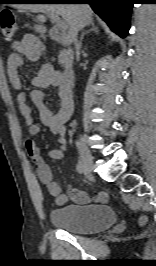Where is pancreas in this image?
<instances>
[{"label": "pancreas", "instance_id": "1", "mask_svg": "<svg viewBox=\"0 0 156 266\" xmlns=\"http://www.w3.org/2000/svg\"><path fill=\"white\" fill-rule=\"evenodd\" d=\"M58 60L59 63L63 66V67H67L69 65H71L72 61H73V53L71 49L68 50H63L60 52L59 56H58Z\"/></svg>", "mask_w": 156, "mask_h": 266}]
</instances>
